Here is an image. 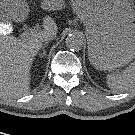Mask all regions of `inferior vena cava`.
Wrapping results in <instances>:
<instances>
[{"mask_svg":"<svg viewBox=\"0 0 135 135\" xmlns=\"http://www.w3.org/2000/svg\"><path fill=\"white\" fill-rule=\"evenodd\" d=\"M56 38V33L53 32H45L42 36L43 41H50Z\"/></svg>","mask_w":135,"mask_h":135,"instance_id":"1","label":"inferior vena cava"}]
</instances>
